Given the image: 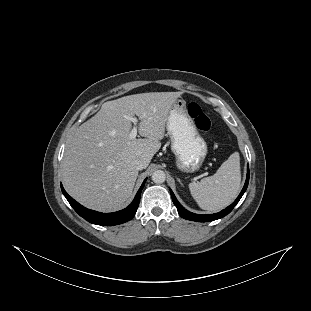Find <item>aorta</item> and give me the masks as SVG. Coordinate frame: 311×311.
Segmentation results:
<instances>
[{
    "label": "aorta",
    "instance_id": "1",
    "mask_svg": "<svg viewBox=\"0 0 311 311\" xmlns=\"http://www.w3.org/2000/svg\"><path fill=\"white\" fill-rule=\"evenodd\" d=\"M152 181L156 184H162L166 180V174L162 170H156L153 172L152 176Z\"/></svg>",
    "mask_w": 311,
    "mask_h": 311
}]
</instances>
